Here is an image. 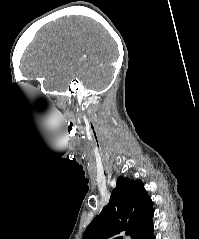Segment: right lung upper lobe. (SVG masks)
<instances>
[{
    "mask_svg": "<svg viewBox=\"0 0 199 239\" xmlns=\"http://www.w3.org/2000/svg\"><path fill=\"white\" fill-rule=\"evenodd\" d=\"M153 214L152 200L143 182L120 176L109 204L88 226L83 239H123L119 234L129 229L133 239Z\"/></svg>",
    "mask_w": 199,
    "mask_h": 239,
    "instance_id": "cb5924a9",
    "label": "right lung upper lobe"
}]
</instances>
